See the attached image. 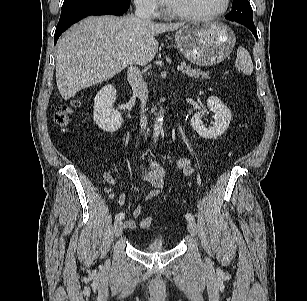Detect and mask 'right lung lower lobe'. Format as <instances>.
<instances>
[{
    "mask_svg": "<svg viewBox=\"0 0 307 301\" xmlns=\"http://www.w3.org/2000/svg\"><path fill=\"white\" fill-rule=\"evenodd\" d=\"M128 2H119L114 0H99L85 4H81L72 8L61 11L60 20L57 24L54 34V44L59 36L68 29L69 26L76 23L80 19L89 15L111 14L120 16L127 12Z\"/></svg>",
    "mask_w": 307,
    "mask_h": 301,
    "instance_id": "1",
    "label": "right lung lower lobe"
}]
</instances>
